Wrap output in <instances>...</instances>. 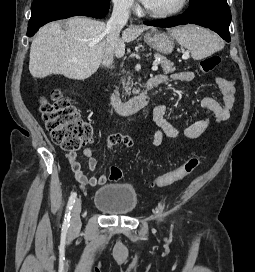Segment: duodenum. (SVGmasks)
<instances>
[{
	"mask_svg": "<svg viewBox=\"0 0 255 272\" xmlns=\"http://www.w3.org/2000/svg\"><path fill=\"white\" fill-rule=\"evenodd\" d=\"M159 85V81L152 77L145 84V89L137 96L129 100H121L119 97L109 94L108 102L122 114H132L144 108L149 102V91Z\"/></svg>",
	"mask_w": 255,
	"mask_h": 272,
	"instance_id": "410a0bca",
	"label": "duodenum"
}]
</instances>
